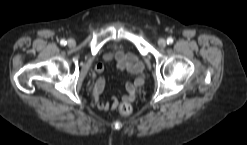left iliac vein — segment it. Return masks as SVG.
Here are the masks:
<instances>
[{
  "mask_svg": "<svg viewBox=\"0 0 247 145\" xmlns=\"http://www.w3.org/2000/svg\"><path fill=\"white\" fill-rule=\"evenodd\" d=\"M166 45H167V42H166L165 39H163V38L159 39V41H158V46H159L160 48H165Z\"/></svg>",
  "mask_w": 247,
  "mask_h": 145,
  "instance_id": "1",
  "label": "left iliac vein"
}]
</instances>
